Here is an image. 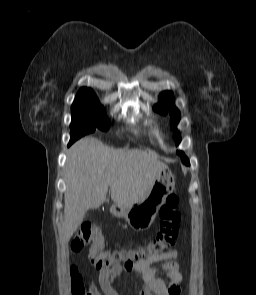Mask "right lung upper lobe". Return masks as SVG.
Wrapping results in <instances>:
<instances>
[{"label":"right lung upper lobe","instance_id":"obj_1","mask_svg":"<svg viewBox=\"0 0 256 295\" xmlns=\"http://www.w3.org/2000/svg\"><path fill=\"white\" fill-rule=\"evenodd\" d=\"M88 100L98 101V98L92 89L83 87L78 91L77 96H76L73 103L81 102V101H88Z\"/></svg>","mask_w":256,"mask_h":295}]
</instances>
